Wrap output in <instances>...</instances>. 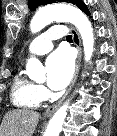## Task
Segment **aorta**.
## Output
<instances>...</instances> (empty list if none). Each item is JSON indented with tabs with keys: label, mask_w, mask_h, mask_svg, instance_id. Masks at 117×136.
<instances>
[{
	"label": "aorta",
	"mask_w": 117,
	"mask_h": 136,
	"mask_svg": "<svg viewBox=\"0 0 117 136\" xmlns=\"http://www.w3.org/2000/svg\"><path fill=\"white\" fill-rule=\"evenodd\" d=\"M56 22H70L78 29L84 47L85 60L89 61L94 51V33L91 22L79 9L62 4L48 5L40 9L32 18L30 30L39 32L44 27ZM26 71L30 78L37 79L44 75L42 63L35 57L28 59ZM69 103H64L50 119L45 136H59L64 124Z\"/></svg>",
	"instance_id": "1"
}]
</instances>
